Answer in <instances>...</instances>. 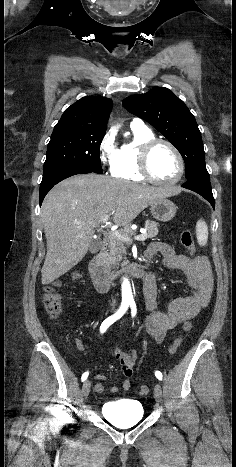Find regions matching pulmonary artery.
Returning a JSON list of instances; mask_svg holds the SVG:
<instances>
[{
  "mask_svg": "<svg viewBox=\"0 0 236 467\" xmlns=\"http://www.w3.org/2000/svg\"><path fill=\"white\" fill-rule=\"evenodd\" d=\"M130 124L131 126H134V127H145L146 126L143 120L140 118H134Z\"/></svg>",
  "mask_w": 236,
  "mask_h": 467,
  "instance_id": "e3ab8cb5",
  "label": "pulmonary artery"
}]
</instances>
